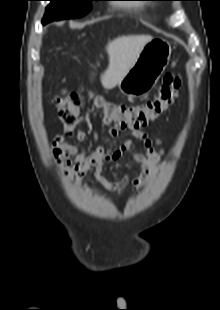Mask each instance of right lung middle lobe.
I'll use <instances>...</instances> for the list:
<instances>
[{"label":"right lung middle lobe","mask_w":220,"mask_h":310,"mask_svg":"<svg viewBox=\"0 0 220 310\" xmlns=\"http://www.w3.org/2000/svg\"><path fill=\"white\" fill-rule=\"evenodd\" d=\"M47 6L43 23L54 20L81 17L91 9V1L99 0H50Z\"/></svg>","instance_id":"right-lung-middle-lobe-1"}]
</instances>
